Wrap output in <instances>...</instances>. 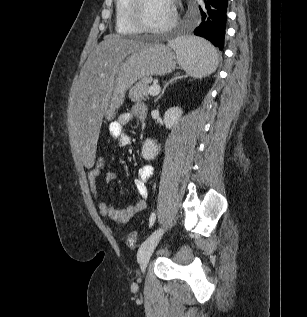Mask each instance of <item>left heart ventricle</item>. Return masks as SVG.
I'll list each match as a JSON object with an SVG mask.
<instances>
[{
  "label": "left heart ventricle",
  "instance_id": "left-heart-ventricle-1",
  "mask_svg": "<svg viewBox=\"0 0 307 317\" xmlns=\"http://www.w3.org/2000/svg\"><path fill=\"white\" fill-rule=\"evenodd\" d=\"M143 17L152 27L165 25L172 16V3L170 0H145Z\"/></svg>",
  "mask_w": 307,
  "mask_h": 317
}]
</instances>
